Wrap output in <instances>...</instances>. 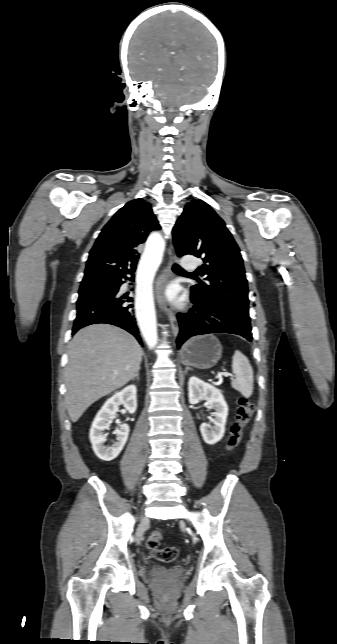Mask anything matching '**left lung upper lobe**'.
<instances>
[{"label": "left lung upper lobe", "mask_w": 337, "mask_h": 644, "mask_svg": "<svg viewBox=\"0 0 337 644\" xmlns=\"http://www.w3.org/2000/svg\"><path fill=\"white\" fill-rule=\"evenodd\" d=\"M178 256L202 258L198 269L206 275L191 287L200 303L216 304L250 324L248 286L240 250L224 221L201 200L189 202L173 228Z\"/></svg>", "instance_id": "left-lung-upper-lobe-1"}]
</instances>
